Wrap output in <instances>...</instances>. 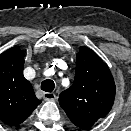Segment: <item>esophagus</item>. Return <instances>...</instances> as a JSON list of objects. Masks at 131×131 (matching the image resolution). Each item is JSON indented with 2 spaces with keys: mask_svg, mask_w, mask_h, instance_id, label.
Instances as JSON below:
<instances>
[{
  "mask_svg": "<svg viewBox=\"0 0 131 131\" xmlns=\"http://www.w3.org/2000/svg\"><path fill=\"white\" fill-rule=\"evenodd\" d=\"M43 98L46 101H54L57 99L56 95L54 93H50V92L43 93Z\"/></svg>",
  "mask_w": 131,
  "mask_h": 131,
  "instance_id": "1",
  "label": "esophagus"
}]
</instances>
